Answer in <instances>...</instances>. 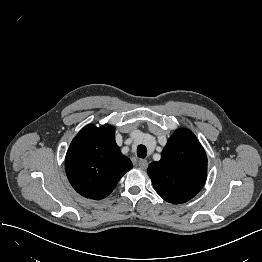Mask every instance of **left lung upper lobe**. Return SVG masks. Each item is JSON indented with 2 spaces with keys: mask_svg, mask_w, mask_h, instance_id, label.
<instances>
[{
  "mask_svg": "<svg viewBox=\"0 0 262 262\" xmlns=\"http://www.w3.org/2000/svg\"><path fill=\"white\" fill-rule=\"evenodd\" d=\"M148 175L156 192L167 202L184 203L203 187L207 176V156L196 136L177 129L169 138L160 161L152 162Z\"/></svg>",
  "mask_w": 262,
  "mask_h": 262,
  "instance_id": "1",
  "label": "left lung upper lobe"
}]
</instances>
